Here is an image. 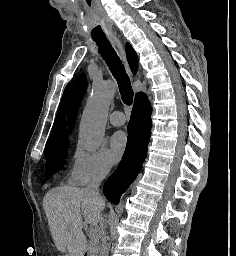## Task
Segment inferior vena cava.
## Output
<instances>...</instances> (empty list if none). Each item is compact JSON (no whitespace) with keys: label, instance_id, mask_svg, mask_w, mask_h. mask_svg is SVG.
Listing matches in <instances>:
<instances>
[{"label":"inferior vena cava","instance_id":"inferior-vena-cava-1","mask_svg":"<svg viewBox=\"0 0 236 256\" xmlns=\"http://www.w3.org/2000/svg\"><path fill=\"white\" fill-rule=\"evenodd\" d=\"M106 174L105 170L103 168H96V170H92L90 174V180L86 186V188H83L84 192H87V194H90L94 200H97V204L99 208H101V204L103 202L100 194H99V186L104 180ZM103 222V220H102ZM101 240H102V256H108L109 254V244H108V236H106V232L104 228L101 230Z\"/></svg>","mask_w":236,"mask_h":256}]
</instances>
